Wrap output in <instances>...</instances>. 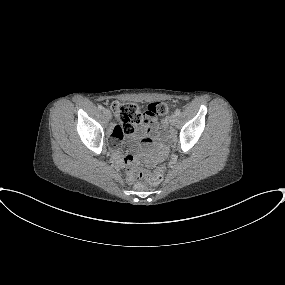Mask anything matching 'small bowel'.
I'll list each match as a JSON object with an SVG mask.
<instances>
[{
  "instance_id": "small-bowel-1",
  "label": "small bowel",
  "mask_w": 285,
  "mask_h": 285,
  "mask_svg": "<svg viewBox=\"0 0 285 285\" xmlns=\"http://www.w3.org/2000/svg\"><path fill=\"white\" fill-rule=\"evenodd\" d=\"M155 126H156V121L154 119H149L143 124L139 125L135 129V132L131 135L133 140L136 143H138V141L148 136L153 131ZM123 137L124 133L118 127H115L111 133V138L109 141V145L112 148L113 159L119 165H122L121 147H122ZM136 150H138L137 145H136ZM127 181L130 183L133 181V176L131 173H127Z\"/></svg>"
}]
</instances>
